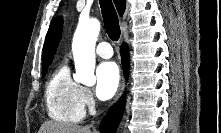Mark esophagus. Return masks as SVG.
<instances>
[{
  "label": "esophagus",
  "instance_id": "34e87169",
  "mask_svg": "<svg viewBox=\"0 0 221 133\" xmlns=\"http://www.w3.org/2000/svg\"><path fill=\"white\" fill-rule=\"evenodd\" d=\"M123 89H124V81L122 82V85H121V87H120V91H119V93H118V95H117V100H118L119 97L121 96V94H122V92H123Z\"/></svg>",
  "mask_w": 221,
  "mask_h": 133
}]
</instances>
